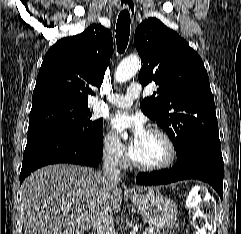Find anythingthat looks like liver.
Returning <instances> with one entry per match:
<instances>
[{"label":"liver","mask_w":241,"mask_h":234,"mask_svg":"<svg viewBox=\"0 0 241 234\" xmlns=\"http://www.w3.org/2000/svg\"><path fill=\"white\" fill-rule=\"evenodd\" d=\"M21 195L24 234H83L101 213H117L122 203L118 184L72 164L48 165L31 173Z\"/></svg>","instance_id":"obj_1"}]
</instances>
